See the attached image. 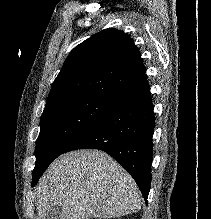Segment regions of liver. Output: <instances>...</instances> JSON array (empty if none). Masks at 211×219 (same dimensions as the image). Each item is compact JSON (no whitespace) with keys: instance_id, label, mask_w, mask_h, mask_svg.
<instances>
[{"instance_id":"6515ba94","label":"liver","mask_w":211,"mask_h":219,"mask_svg":"<svg viewBox=\"0 0 211 219\" xmlns=\"http://www.w3.org/2000/svg\"><path fill=\"white\" fill-rule=\"evenodd\" d=\"M37 219L60 206V219L117 218L141 209L131 176L107 153L79 150L58 157L37 187Z\"/></svg>"}]
</instances>
